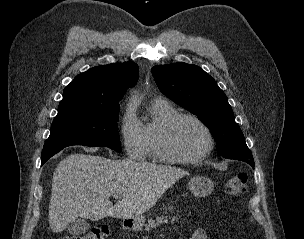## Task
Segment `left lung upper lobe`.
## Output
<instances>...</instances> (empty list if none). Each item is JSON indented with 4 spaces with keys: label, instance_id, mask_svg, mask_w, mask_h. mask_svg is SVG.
I'll return each instance as SVG.
<instances>
[{
    "label": "left lung upper lobe",
    "instance_id": "obj_1",
    "mask_svg": "<svg viewBox=\"0 0 304 239\" xmlns=\"http://www.w3.org/2000/svg\"><path fill=\"white\" fill-rule=\"evenodd\" d=\"M151 71L163 94L197 115L211 130L219 156L254 162L225 93L209 74L182 62L154 66Z\"/></svg>",
    "mask_w": 304,
    "mask_h": 239
}]
</instances>
